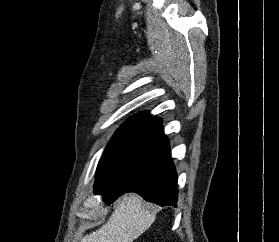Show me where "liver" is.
Returning a JSON list of instances; mask_svg holds the SVG:
<instances>
[{
  "mask_svg": "<svg viewBox=\"0 0 279 242\" xmlns=\"http://www.w3.org/2000/svg\"><path fill=\"white\" fill-rule=\"evenodd\" d=\"M156 213L136 194L122 198L108 221L80 242H133L155 221Z\"/></svg>",
  "mask_w": 279,
  "mask_h": 242,
  "instance_id": "liver-1",
  "label": "liver"
}]
</instances>
